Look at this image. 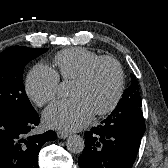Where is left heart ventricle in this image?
Listing matches in <instances>:
<instances>
[{"instance_id":"1","label":"left heart ventricle","mask_w":168,"mask_h":168,"mask_svg":"<svg viewBox=\"0 0 168 168\" xmlns=\"http://www.w3.org/2000/svg\"><path fill=\"white\" fill-rule=\"evenodd\" d=\"M116 80L115 66L103 62L95 68L87 82H73L70 95L83 98L94 112L106 106L111 100L116 88Z\"/></svg>"}]
</instances>
